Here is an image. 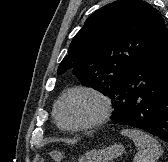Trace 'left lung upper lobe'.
Returning a JSON list of instances; mask_svg holds the SVG:
<instances>
[{"instance_id":"1","label":"left lung upper lobe","mask_w":168,"mask_h":162,"mask_svg":"<svg viewBox=\"0 0 168 162\" xmlns=\"http://www.w3.org/2000/svg\"><path fill=\"white\" fill-rule=\"evenodd\" d=\"M165 27L161 13L142 0H117L94 12L73 38L58 74L71 71L84 86L111 99Z\"/></svg>"}]
</instances>
